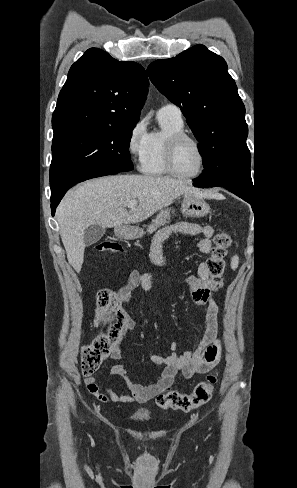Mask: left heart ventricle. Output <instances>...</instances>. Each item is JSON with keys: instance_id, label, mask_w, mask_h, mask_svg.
I'll use <instances>...</instances> for the list:
<instances>
[{"instance_id": "b2bd125f", "label": "left heart ventricle", "mask_w": 297, "mask_h": 488, "mask_svg": "<svg viewBox=\"0 0 297 488\" xmlns=\"http://www.w3.org/2000/svg\"><path fill=\"white\" fill-rule=\"evenodd\" d=\"M175 165L177 170L185 175L193 174L200 166V154L196 146L190 142H183L175 157Z\"/></svg>"}]
</instances>
